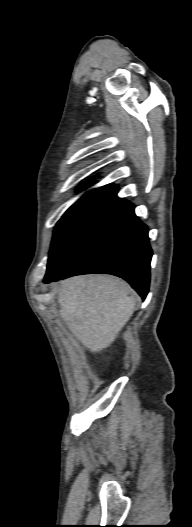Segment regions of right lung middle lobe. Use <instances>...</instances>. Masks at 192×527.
I'll use <instances>...</instances> for the list:
<instances>
[{"label": "right lung middle lobe", "mask_w": 192, "mask_h": 527, "mask_svg": "<svg viewBox=\"0 0 192 527\" xmlns=\"http://www.w3.org/2000/svg\"><path fill=\"white\" fill-rule=\"evenodd\" d=\"M90 182H84L80 188H84ZM103 187L93 189L84 194L74 205H72L58 221L53 235L51 250L56 245L60 237L64 234L71 223L86 209V207L94 200Z\"/></svg>", "instance_id": "dd1d6c3e"}]
</instances>
